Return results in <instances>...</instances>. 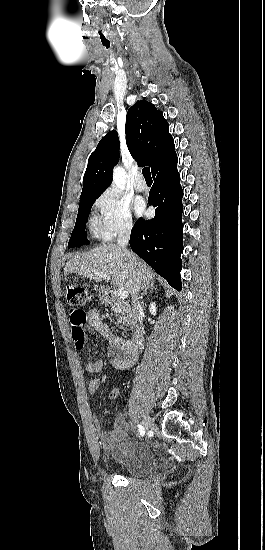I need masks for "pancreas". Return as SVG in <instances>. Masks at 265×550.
<instances>
[{
    "instance_id": "obj_1",
    "label": "pancreas",
    "mask_w": 265,
    "mask_h": 550,
    "mask_svg": "<svg viewBox=\"0 0 265 550\" xmlns=\"http://www.w3.org/2000/svg\"><path fill=\"white\" fill-rule=\"evenodd\" d=\"M111 311L117 317L118 323L126 326H134L136 323V311L128 303L118 300L112 305Z\"/></svg>"
}]
</instances>
